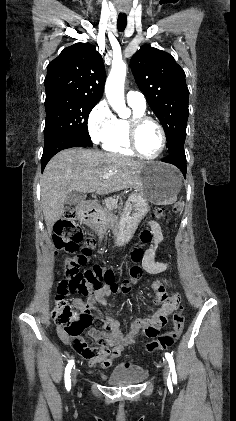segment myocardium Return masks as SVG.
Segmentation results:
<instances>
[{
  "mask_svg": "<svg viewBox=\"0 0 236 421\" xmlns=\"http://www.w3.org/2000/svg\"><path fill=\"white\" fill-rule=\"evenodd\" d=\"M143 122H151L152 124H154L159 133H160V139H161V143H160V148L158 150V152L155 155L152 156H146L144 154H142L137 146V141H136V131L138 126L143 123ZM126 137H127V141L128 144L132 150V152L142 158V159H146V160H154L157 159L161 156V154L164 152L165 148H166V143H167V136H166V132L163 128V126L161 125V123L159 121H157L156 119H154L153 117L147 116L145 114H133L126 122Z\"/></svg>",
  "mask_w": 236,
  "mask_h": 421,
  "instance_id": "1",
  "label": "myocardium"
}]
</instances>
